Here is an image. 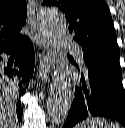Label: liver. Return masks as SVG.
<instances>
[{"mask_svg":"<svg viewBox=\"0 0 125 128\" xmlns=\"http://www.w3.org/2000/svg\"><path fill=\"white\" fill-rule=\"evenodd\" d=\"M14 86L0 77V128H18Z\"/></svg>","mask_w":125,"mask_h":128,"instance_id":"obj_1","label":"liver"}]
</instances>
